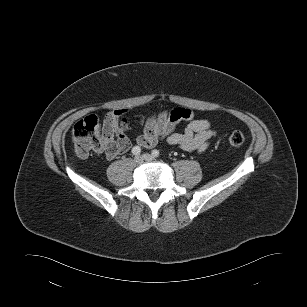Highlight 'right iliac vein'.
<instances>
[{
    "label": "right iliac vein",
    "instance_id": "right-iliac-vein-1",
    "mask_svg": "<svg viewBox=\"0 0 307 307\" xmlns=\"http://www.w3.org/2000/svg\"><path fill=\"white\" fill-rule=\"evenodd\" d=\"M134 161H135V163H137V164H142L143 161H144V158H143L142 156H136V157L134 158Z\"/></svg>",
    "mask_w": 307,
    "mask_h": 307
}]
</instances>
